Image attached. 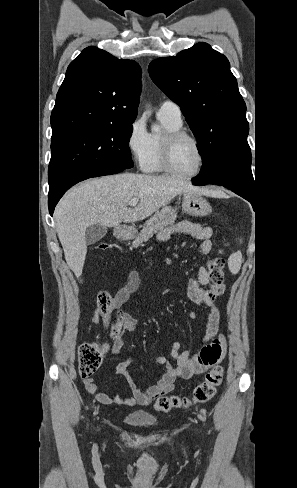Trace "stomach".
<instances>
[{"instance_id":"stomach-1","label":"stomach","mask_w":297,"mask_h":488,"mask_svg":"<svg viewBox=\"0 0 297 488\" xmlns=\"http://www.w3.org/2000/svg\"><path fill=\"white\" fill-rule=\"evenodd\" d=\"M182 210L191 216L205 217L212 213V207L201 194L194 192L183 193ZM135 230L118 227L116 234L119 238L131 239L135 236Z\"/></svg>"}]
</instances>
